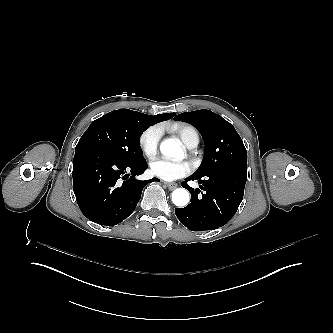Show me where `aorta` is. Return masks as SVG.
<instances>
[{
    "label": "aorta",
    "mask_w": 333,
    "mask_h": 333,
    "mask_svg": "<svg viewBox=\"0 0 333 333\" xmlns=\"http://www.w3.org/2000/svg\"><path fill=\"white\" fill-rule=\"evenodd\" d=\"M181 141L166 139L160 145L161 153L166 157L179 158L183 154ZM172 202L178 207H184L189 202V192L184 188H177L172 192Z\"/></svg>",
    "instance_id": "1"
}]
</instances>
